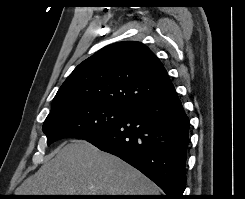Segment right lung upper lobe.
Segmentation results:
<instances>
[{
    "mask_svg": "<svg viewBox=\"0 0 245 199\" xmlns=\"http://www.w3.org/2000/svg\"><path fill=\"white\" fill-rule=\"evenodd\" d=\"M174 91L163 64L144 44L119 42L74 69L54 97L51 112L83 103L130 110Z\"/></svg>",
    "mask_w": 245,
    "mask_h": 199,
    "instance_id": "right-lung-upper-lobe-1",
    "label": "right lung upper lobe"
}]
</instances>
